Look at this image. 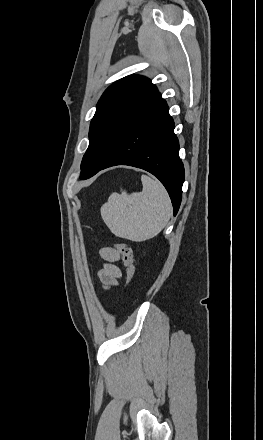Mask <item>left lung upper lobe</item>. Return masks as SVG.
I'll use <instances>...</instances> for the list:
<instances>
[{
  "label": "left lung upper lobe",
  "mask_w": 263,
  "mask_h": 440,
  "mask_svg": "<svg viewBox=\"0 0 263 440\" xmlns=\"http://www.w3.org/2000/svg\"><path fill=\"white\" fill-rule=\"evenodd\" d=\"M157 92L148 78L139 75L122 78L106 89L90 124L89 146L81 163V179L107 163L135 115Z\"/></svg>",
  "instance_id": "obj_1"
}]
</instances>
